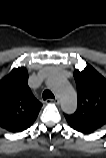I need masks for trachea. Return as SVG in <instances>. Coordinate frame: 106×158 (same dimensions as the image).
<instances>
[{"instance_id":"obj_1","label":"trachea","mask_w":106,"mask_h":158,"mask_svg":"<svg viewBox=\"0 0 106 158\" xmlns=\"http://www.w3.org/2000/svg\"><path fill=\"white\" fill-rule=\"evenodd\" d=\"M43 100H46L48 98H54L53 93L50 90H45L42 94Z\"/></svg>"}]
</instances>
